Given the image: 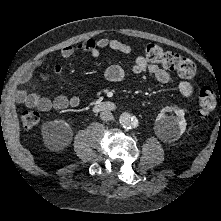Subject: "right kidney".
<instances>
[{
	"instance_id": "obj_1",
	"label": "right kidney",
	"mask_w": 221,
	"mask_h": 221,
	"mask_svg": "<svg viewBox=\"0 0 221 221\" xmlns=\"http://www.w3.org/2000/svg\"><path fill=\"white\" fill-rule=\"evenodd\" d=\"M42 134L45 141L53 147H64L72 136V130L68 123L62 120H54L43 124Z\"/></svg>"
}]
</instances>
